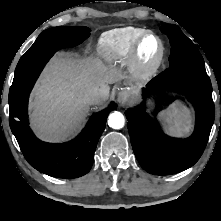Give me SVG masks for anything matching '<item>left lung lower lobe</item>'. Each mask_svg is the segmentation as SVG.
<instances>
[{
  "label": "left lung lower lobe",
  "mask_w": 221,
  "mask_h": 221,
  "mask_svg": "<svg viewBox=\"0 0 221 221\" xmlns=\"http://www.w3.org/2000/svg\"><path fill=\"white\" fill-rule=\"evenodd\" d=\"M170 90L187 96L196 110L194 133L187 139L164 135L145 111V105L129 108L130 140L140 165L154 175H170L193 166L202 155L214 122L212 86L207 73L188 68H168L153 78L143 96Z\"/></svg>",
  "instance_id": "obj_1"
}]
</instances>
